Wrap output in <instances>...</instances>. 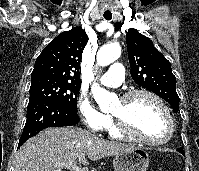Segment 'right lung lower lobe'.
I'll use <instances>...</instances> for the list:
<instances>
[{
    "mask_svg": "<svg viewBox=\"0 0 199 171\" xmlns=\"http://www.w3.org/2000/svg\"><path fill=\"white\" fill-rule=\"evenodd\" d=\"M80 121L73 110L59 102L38 97L29 100L27 106V120L19 140L18 148L29 138L49 127L72 126Z\"/></svg>",
    "mask_w": 199,
    "mask_h": 171,
    "instance_id": "1",
    "label": "right lung lower lobe"
}]
</instances>
